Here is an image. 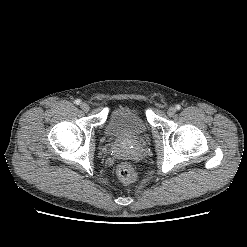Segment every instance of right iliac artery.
Segmentation results:
<instances>
[{
	"mask_svg": "<svg viewBox=\"0 0 247 247\" xmlns=\"http://www.w3.org/2000/svg\"><path fill=\"white\" fill-rule=\"evenodd\" d=\"M80 102H81V101H80L79 99H76V100H75V104H77V105H79Z\"/></svg>",
	"mask_w": 247,
	"mask_h": 247,
	"instance_id": "82829eb1",
	"label": "right iliac artery"
}]
</instances>
